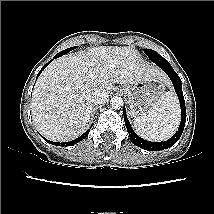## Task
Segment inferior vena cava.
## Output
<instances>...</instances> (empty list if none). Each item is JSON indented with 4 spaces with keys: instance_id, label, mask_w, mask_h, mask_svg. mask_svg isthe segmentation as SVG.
<instances>
[{
    "instance_id": "602c4592",
    "label": "inferior vena cava",
    "mask_w": 214,
    "mask_h": 214,
    "mask_svg": "<svg viewBox=\"0 0 214 214\" xmlns=\"http://www.w3.org/2000/svg\"><path fill=\"white\" fill-rule=\"evenodd\" d=\"M108 98L105 90H95L89 94V101L95 105L104 103Z\"/></svg>"
}]
</instances>
